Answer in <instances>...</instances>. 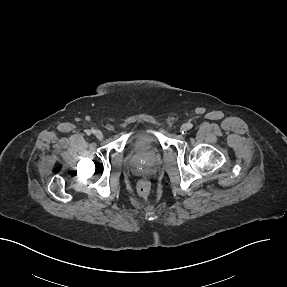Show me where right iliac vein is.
I'll return each instance as SVG.
<instances>
[{"label":"right iliac vein","instance_id":"right-iliac-vein-1","mask_svg":"<svg viewBox=\"0 0 287 287\" xmlns=\"http://www.w3.org/2000/svg\"><path fill=\"white\" fill-rule=\"evenodd\" d=\"M95 136L97 139L101 140L103 139V133L100 130L95 131Z\"/></svg>","mask_w":287,"mask_h":287}]
</instances>
